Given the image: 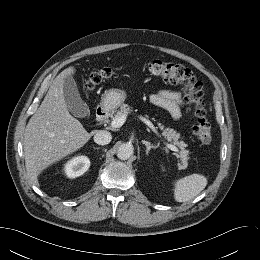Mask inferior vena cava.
Masks as SVG:
<instances>
[{"label": "inferior vena cava", "mask_w": 260, "mask_h": 260, "mask_svg": "<svg viewBox=\"0 0 260 260\" xmlns=\"http://www.w3.org/2000/svg\"><path fill=\"white\" fill-rule=\"evenodd\" d=\"M112 135L110 132L105 130H99L94 135V141L98 145H106L111 142Z\"/></svg>", "instance_id": "inferior-vena-cava-1"}]
</instances>
